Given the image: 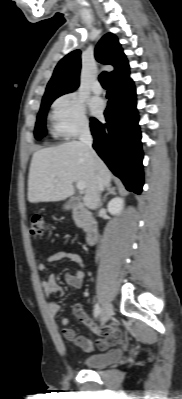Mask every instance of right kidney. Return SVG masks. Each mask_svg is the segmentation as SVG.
Instances as JSON below:
<instances>
[{
  "label": "right kidney",
  "mask_w": 182,
  "mask_h": 399,
  "mask_svg": "<svg viewBox=\"0 0 182 399\" xmlns=\"http://www.w3.org/2000/svg\"><path fill=\"white\" fill-rule=\"evenodd\" d=\"M124 207V199L120 197H115L109 201L107 205V210L112 215H119Z\"/></svg>",
  "instance_id": "1"
}]
</instances>
